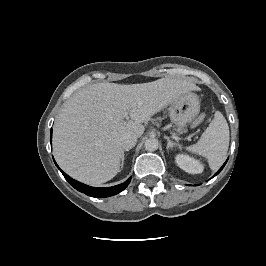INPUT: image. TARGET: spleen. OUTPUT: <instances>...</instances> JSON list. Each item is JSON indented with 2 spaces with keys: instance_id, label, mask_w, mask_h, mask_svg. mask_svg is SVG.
Returning <instances> with one entry per match:
<instances>
[{
  "instance_id": "spleen-1",
  "label": "spleen",
  "mask_w": 266,
  "mask_h": 266,
  "mask_svg": "<svg viewBox=\"0 0 266 266\" xmlns=\"http://www.w3.org/2000/svg\"><path fill=\"white\" fill-rule=\"evenodd\" d=\"M229 146V127L221 112L216 111L214 119L203 132L198 142L186 148L187 151L208 159L212 170L224 162Z\"/></svg>"
}]
</instances>
